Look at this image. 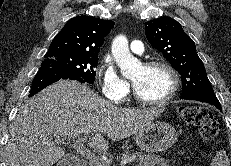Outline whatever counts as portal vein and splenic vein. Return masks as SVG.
Instances as JSON below:
<instances>
[{"label":"portal vein and splenic vein","instance_id":"portal-vein-and-splenic-vein-1","mask_svg":"<svg viewBox=\"0 0 231 166\" xmlns=\"http://www.w3.org/2000/svg\"><path fill=\"white\" fill-rule=\"evenodd\" d=\"M86 140H87L86 135L84 136L81 135V136L68 138V139H58L60 143H63V144L69 143L77 151V153L81 154L89 162L99 164L100 161H102V159L84 147V143ZM133 161H134L133 159H125V160H122L121 163L127 164Z\"/></svg>","mask_w":231,"mask_h":166}]
</instances>
